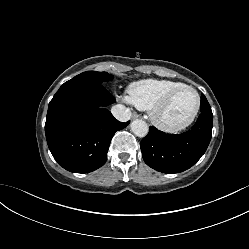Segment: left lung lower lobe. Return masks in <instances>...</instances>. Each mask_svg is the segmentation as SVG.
I'll use <instances>...</instances> for the list:
<instances>
[{"label":"left lung lower lobe","instance_id":"0a47b994","mask_svg":"<svg viewBox=\"0 0 249 249\" xmlns=\"http://www.w3.org/2000/svg\"><path fill=\"white\" fill-rule=\"evenodd\" d=\"M201 95V103L206 102ZM213 126L212 111L201 112L195 125L182 134H166L155 127L140 143L145 163L162 173H179L193 166L205 153Z\"/></svg>","mask_w":249,"mask_h":249}]
</instances>
